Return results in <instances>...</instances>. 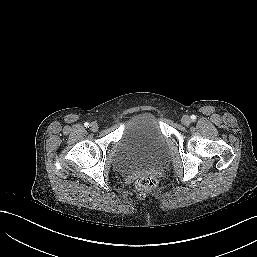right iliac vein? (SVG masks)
I'll return each mask as SVG.
<instances>
[{
	"instance_id": "right-iliac-vein-1",
	"label": "right iliac vein",
	"mask_w": 257,
	"mask_h": 257,
	"mask_svg": "<svg viewBox=\"0 0 257 257\" xmlns=\"http://www.w3.org/2000/svg\"><path fill=\"white\" fill-rule=\"evenodd\" d=\"M98 128H99V125L96 123V122H92L91 124H90V129L92 130V131H97L98 130Z\"/></svg>"
}]
</instances>
